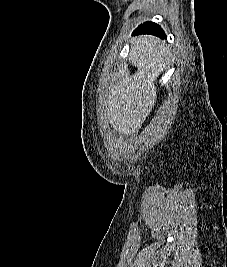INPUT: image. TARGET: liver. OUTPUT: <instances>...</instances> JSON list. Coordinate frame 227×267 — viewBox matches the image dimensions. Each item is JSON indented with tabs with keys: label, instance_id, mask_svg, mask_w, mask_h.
I'll return each mask as SVG.
<instances>
[{
	"label": "liver",
	"instance_id": "obj_1",
	"mask_svg": "<svg viewBox=\"0 0 227 267\" xmlns=\"http://www.w3.org/2000/svg\"><path fill=\"white\" fill-rule=\"evenodd\" d=\"M169 56L167 47L155 37L145 36L134 41L129 60L137 72L123 77L106 94V116L115 130L131 134L142 126L156 102L154 82Z\"/></svg>",
	"mask_w": 227,
	"mask_h": 267
}]
</instances>
